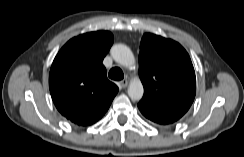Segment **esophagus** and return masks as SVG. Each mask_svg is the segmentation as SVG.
Here are the masks:
<instances>
[{"instance_id":"1","label":"esophagus","mask_w":244,"mask_h":157,"mask_svg":"<svg viewBox=\"0 0 244 157\" xmlns=\"http://www.w3.org/2000/svg\"><path fill=\"white\" fill-rule=\"evenodd\" d=\"M128 85V80L127 79H123L122 81H120V86L122 88H126Z\"/></svg>"}]
</instances>
